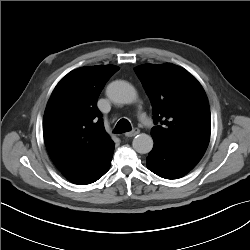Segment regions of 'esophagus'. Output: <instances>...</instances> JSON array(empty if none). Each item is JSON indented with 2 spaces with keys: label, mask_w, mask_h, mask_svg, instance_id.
Returning <instances> with one entry per match:
<instances>
[{
  "label": "esophagus",
  "mask_w": 250,
  "mask_h": 250,
  "mask_svg": "<svg viewBox=\"0 0 250 250\" xmlns=\"http://www.w3.org/2000/svg\"><path fill=\"white\" fill-rule=\"evenodd\" d=\"M139 133H140V130H139L138 128H134L132 131L127 132V133L125 134V136H126V137H134V136H136V135L139 134Z\"/></svg>",
  "instance_id": "1"
}]
</instances>
